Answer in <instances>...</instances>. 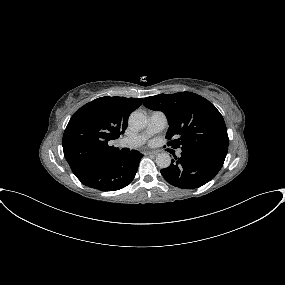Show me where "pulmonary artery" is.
<instances>
[{"instance_id": "1", "label": "pulmonary artery", "mask_w": 285, "mask_h": 285, "mask_svg": "<svg viewBox=\"0 0 285 285\" xmlns=\"http://www.w3.org/2000/svg\"><path fill=\"white\" fill-rule=\"evenodd\" d=\"M167 125V116L162 111H152L145 131L129 137H123L118 141V146L136 148L144 144L151 136L162 131Z\"/></svg>"}]
</instances>
